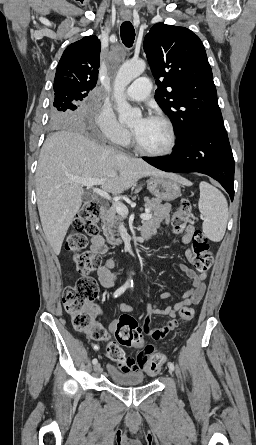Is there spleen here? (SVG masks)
<instances>
[{"label": "spleen", "instance_id": "1", "mask_svg": "<svg viewBox=\"0 0 256 445\" xmlns=\"http://www.w3.org/2000/svg\"><path fill=\"white\" fill-rule=\"evenodd\" d=\"M199 211L203 218V232L210 240H222L228 221V204L224 195L207 182H200Z\"/></svg>", "mask_w": 256, "mask_h": 445}]
</instances>
